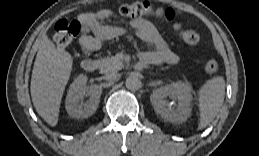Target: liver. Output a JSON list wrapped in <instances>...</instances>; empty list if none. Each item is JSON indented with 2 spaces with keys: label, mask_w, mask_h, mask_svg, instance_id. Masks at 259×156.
Wrapping results in <instances>:
<instances>
[{
  "label": "liver",
  "mask_w": 259,
  "mask_h": 156,
  "mask_svg": "<svg viewBox=\"0 0 259 156\" xmlns=\"http://www.w3.org/2000/svg\"><path fill=\"white\" fill-rule=\"evenodd\" d=\"M72 66L73 58L69 52L56 48L47 35L40 39L30 91L37 113L51 126L58 123L60 104Z\"/></svg>",
  "instance_id": "1"
}]
</instances>
